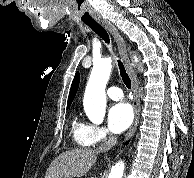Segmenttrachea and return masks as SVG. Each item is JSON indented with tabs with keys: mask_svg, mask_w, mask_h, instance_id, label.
<instances>
[{
	"mask_svg": "<svg viewBox=\"0 0 194 178\" xmlns=\"http://www.w3.org/2000/svg\"><path fill=\"white\" fill-rule=\"evenodd\" d=\"M98 36H100V38H102L105 43L109 44L110 43V38L108 33L106 32V30L98 23H88L87 24ZM118 62V68L120 71V76L124 82V84L126 85V87L128 89L131 88V80L128 76V74L126 73L125 67L123 65V63L120 60H117Z\"/></svg>",
	"mask_w": 194,
	"mask_h": 178,
	"instance_id": "obj_1",
	"label": "trachea"
}]
</instances>
